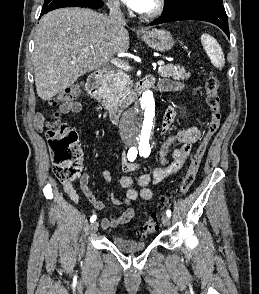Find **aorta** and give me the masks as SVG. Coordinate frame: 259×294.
Returning <instances> with one entry per match:
<instances>
[{
	"label": "aorta",
	"instance_id": "762f6f07",
	"mask_svg": "<svg viewBox=\"0 0 259 294\" xmlns=\"http://www.w3.org/2000/svg\"><path fill=\"white\" fill-rule=\"evenodd\" d=\"M121 131L132 141H151L155 127V102L153 92L146 90L138 104L123 116Z\"/></svg>",
	"mask_w": 259,
	"mask_h": 294
}]
</instances>
